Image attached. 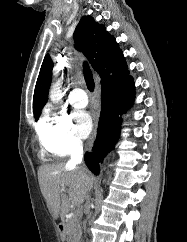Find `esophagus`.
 <instances>
[{
  "label": "esophagus",
  "instance_id": "34e87169",
  "mask_svg": "<svg viewBox=\"0 0 187 242\" xmlns=\"http://www.w3.org/2000/svg\"><path fill=\"white\" fill-rule=\"evenodd\" d=\"M96 127H97V124L95 125V129H94V131H93V133H92L91 140H90V144H92V142H93L94 139H95V136H96Z\"/></svg>",
  "mask_w": 187,
  "mask_h": 242
}]
</instances>
